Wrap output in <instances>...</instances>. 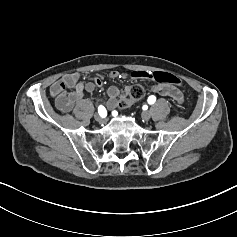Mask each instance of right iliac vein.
Segmentation results:
<instances>
[{"mask_svg":"<svg viewBox=\"0 0 237 237\" xmlns=\"http://www.w3.org/2000/svg\"><path fill=\"white\" fill-rule=\"evenodd\" d=\"M94 118H95V120H96L98 123H100V124H103V123L106 122V118H105V117H101V116L98 115V114H95V115H94Z\"/></svg>","mask_w":237,"mask_h":237,"instance_id":"obj_1","label":"right iliac vein"}]
</instances>
